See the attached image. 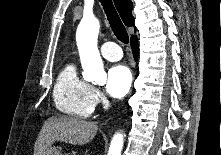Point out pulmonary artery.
Returning a JSON list of instances; mask_svg holds the SVG:
<instances>
[{"label":"pulmonary artery","mask_w":221,"mask_h":155,"mask_svg":"<svg viewBox=\"0 0 221 155\" xmlns=\"http://www.w3.org/2000/svg\"><path fill=\"white\" fill-rule=\"evenodd\" d=\"M102 56L109 61H118L122 58V51L115 42H106L101 46Z\"/></svg>","instance_id":"obj_1"}]
</instances>
